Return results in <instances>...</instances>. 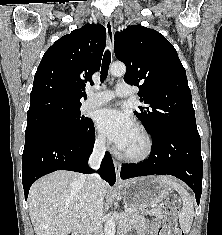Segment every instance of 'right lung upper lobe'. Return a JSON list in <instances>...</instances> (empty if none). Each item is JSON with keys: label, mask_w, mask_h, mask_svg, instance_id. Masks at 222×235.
<instances>
[{"label": "right lung upper lobe", "mask_w": 222, "mask_h": 235, "mask_svg": "<svg viewBox=\"0 0 222 235\" xmlns=\"http://www.w3.org/2000/svg\"><path fill=\"white\" fill-rule=\"evenodd\" d=\"M106 29L86 24L57 40L44 54L34 77L27 117L81 104L85 83L100 69Z\"/></svg>", "instance_id": "cb5924a9"}]
</instances>
